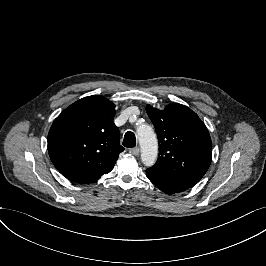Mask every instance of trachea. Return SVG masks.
<instances>
[{
	"label": "trachea",
	"instance_id": "1",
	"mask_svg": "<svg viewBox=\"0 0 266 266\" xmlns=\"http://www.w3.org/2000/svg\"><path fill=\"white\" fill-rule=\"evenodd\" d=\"M123 145L127 148H132L135 147L136 145V138H135V134L133 132L128 131L125 136H124V140H123Z\"/></svg>",
	"mask_w": 266,
	"mask_h": 266
}]
</instances>
